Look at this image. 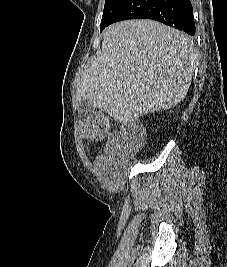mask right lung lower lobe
<instances>
[{"label":"right lung lower lobe","instance_id":"obj_1","mask_svg":"<svg viewBox=\"0 0 227 267\" xmlns=\"http://www.w3.org/2000/svg\"><path fill=\"white\" fill-rule=\"evenodd\" d=\"M126 19H152L189 35L195 34L190 0H127L106 26Z\"/></svg>","mask_w":227,"mask_h":267}]
</instances>
